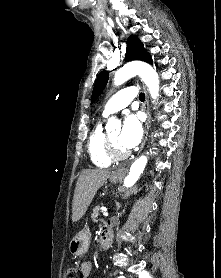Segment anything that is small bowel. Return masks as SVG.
<instances>
[{"mask_svg":"<svg viewBox=\"0 0 221 278\" xmlns=\"http://www.w3.org/2000/svg\"><path fill=\"white\" fill-rule=\"evenodd\" d=\"M80 269L83 274V278H88L92 272V263L91 262H84L81 264Z\"/></svg>","mask_w":221,"mask_h":278,"instance_id":"1","label":"small bowel"}]
</instances>
